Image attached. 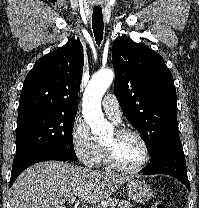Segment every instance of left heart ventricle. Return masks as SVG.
Instances as JSON below:
<instances>
[{"label":"left heart ventricle","mask_w":199,"mask_h":208,"mask_svg":"<svg viewBox=\"0 0 199 208\" xmlns=\"http://www.w3.org/2000/svg\"><path fill=\"white\" fill-rule=\"evenodd\" d=\"M103 143L112 145L117 160L126 167H135L144 159L143 146L133 135L118 137L115 131H112Z\"/></svg>","instance_id":"left-heart-ventricle-1"}]
</instances>
